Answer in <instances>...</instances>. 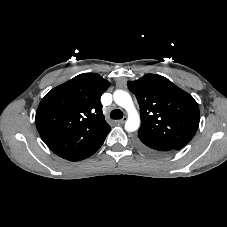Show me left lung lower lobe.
<instances>
[{
    "label": "left lung lower lobe",
    "instance_id": "left-lung-lower-lobe-1",
    "mask_svg": "<svg viewBox=\"0 0 227 227\" xmlns=\"http://www.w3.org/2000/svg\"><path fill=\"white\" fill-rule=\"evenodd\" d=\"M136 145L140 150L152 156H163L174 150L167 145L143 139H137Z\"/></svg>",
    "mask_w": 227,
    "mask_h": 227
}]
</instances>
